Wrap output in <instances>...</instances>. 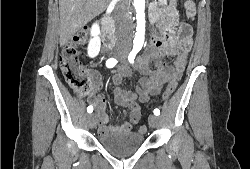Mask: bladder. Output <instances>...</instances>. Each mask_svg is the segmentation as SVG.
I'll return each instance as SVG.
<instances>
[{
  "mask_svg": "<svg viewBox=\"0 0 250 169\" xmlns=\"http://www.w3.org/2000/svg\"><path fill=\"white\" fill-rule=\"evenodd\" d=\"M97 141L112 156L126 158L139 150L145 142V136L125 132L98 133Z\"/></svg>",
  "mask_w": 250,
  "mask_h": 169,
  "instance_id": "obj_1",
  "label": "bladder"
}]
</instances>
